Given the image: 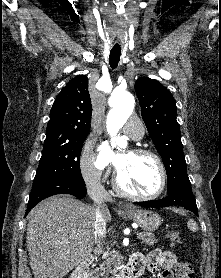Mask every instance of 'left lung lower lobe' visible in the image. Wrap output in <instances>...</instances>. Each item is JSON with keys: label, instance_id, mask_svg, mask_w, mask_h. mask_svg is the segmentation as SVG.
<instances>
[{"label": "left lung lower lobe", "instance_id": "1", "mask_svg": "<svg viewBox=\"0 0 221 278\" xmlns=\"http://www.w3.org/2000/svg\"><path fill=\"white\" fill-rule=\"evenodd\" d=\"M136 204L144 207H168L178 205L198 215L195 197L192 193L189 181H185L177 185L171 192L168 193L166 198L161 200L136 202Z\"/></svg>", "mask_w": 221, "mask_h": 278}]
</instances>
